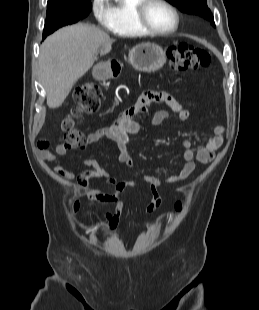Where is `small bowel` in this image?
<instances>
[{"instance_id":"1","label":"small bowel","mask_w":259,"mask_h":310,"mask_svg":"<svg viewBox=\"0 0 259 310\" xmlns=\"http://www.w3.org/2000/svg\"><path fill=\"white\" fill-rule=\"evenodd\" d=\"M159 102L167 104L180 120L188 119L190 113L187 108L177 102L170 94L165 92H147L143 94L138 101L126 111L120 113L115 121L108 127L94 129L89 132L81 149L102 142L111 141L118 151V161L122 164L131 166V159L126 148V144L140 131V125L134 120L136 116L145 114L151 103ZM169 113L165 110L156 112L152 119L153 125H159L167 120ZM223 144V128L218 126L214 130V135L208 138L205 145L197 150L191 148V142L184 140L182 146L185 148L184 165L178 173L167 177H158L155 175L144 174L141 179L149 185L152 192V200L146 208L147 213H153L161 204V195L159 188L164 185H174L186 180L195 170L196 163H209L215 156L217 150ZM72 147L64 143H57L53 149H50V141L40 140L37 145V155L40 159L55 164V171L67 179L76 178L78 186L91 199L101 203L111 204L113 211L106 213L102 220L96 225L80 224L79 227L88 233H110L114 231L123 214L124 205L121 194L128 188L136 184L135 180L118 179L117 175H109L107 169L97 160L89 158L83 163L84 169L76 174L73 167H65L62 158L67 156ZM92 178H102L109 185L114 187V192L106 193L92 189L89 180Z\"/></svg>"}]
</instances>
